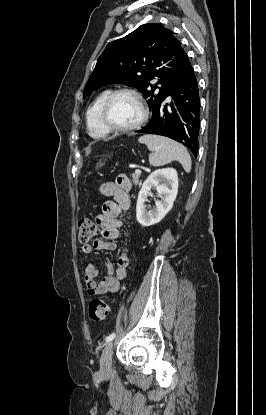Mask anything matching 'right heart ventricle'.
I'll return each instance as SVG.
<instances>
[{"mask_svg":"<svg viewBox=\"0 0 266 415\" xmlns=\"http://www.w3.org/2000/svg\"><path fill=\"white\" fill-rule=\"evenodd\" d=\"M111 90L107 89L99 93L92 101L86 112L87 130L91 137L101 139L106 137L110 131L101 121V109Z\"/></svg>","mask_w":266,"mask_h":415,"instance_id":"obj_1","label":"right heart ventricle"}]
</instances>
